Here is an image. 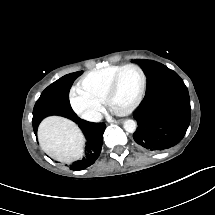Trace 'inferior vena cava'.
Instances as JSON below:
<instances>
[{
    "label": "inferior vena cava",
    "instance_id": "1",
    "mask_svg": "<svg viewBox=\"0 0 215 215\" xmlns=\"http://www.w3.org/2000/svg\"><path fill=\"white\" fill-rule=\"evenodd\" d=\"M82 118L87 120V121H92V122H99L102 120L103 116L100 112L95 111V110H89L85 111L82 114Z\"/></svg>",
    "mask_w": 215,
    "mask_h": 215
}]
</instances>
